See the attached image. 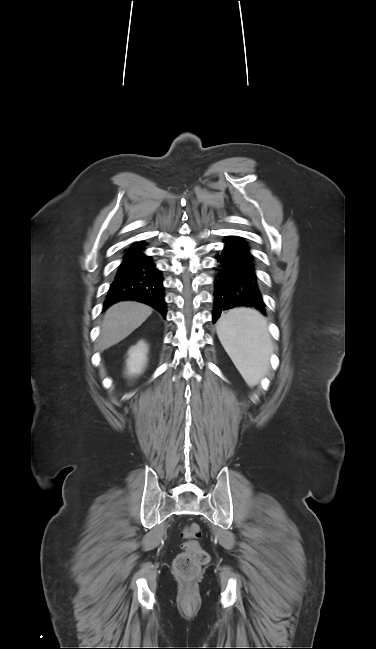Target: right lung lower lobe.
Segmentation results:
<instances>
[{
  "instance_id": "1",
  "label": "right lung lower lobe",
  "mask_w": 376,
  "mask_h": 649,
  "mask_svg": "<svg viewBox=\"0 0 376 649\" xmlns=\"http://www.w3.org/2000/svg\"><path fill=\"white\" fill-rule=\"evenodd\" d=\"M144 250L141 242L125 251V257L108 290L104 309L119 301L135 300L152 306L165 317L167 310L161 271L156 268L152 258L143 253Z\"/></svg>"
}]
</instances>
